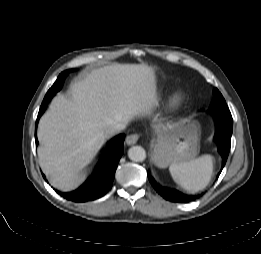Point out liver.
<instances>
[{
	"mask_svg": "<svg viewBox=\"0 0 261 254\" xmlns=\"http://www.w3.org/2000/svg\"><path fill=\"white\" fill-rule=\"evenodd\" d=\"M57 95L38 126L39 163L50 183L75 189L82 170L110 137L114 123L127 125L157 104L154 71L144 64H115L95 69Z\"/></svg>",
	"mask_w": 261,
	"mask_h": 254,
	"instance_id": "1",
	"label": "liver"
}]
</instances>
